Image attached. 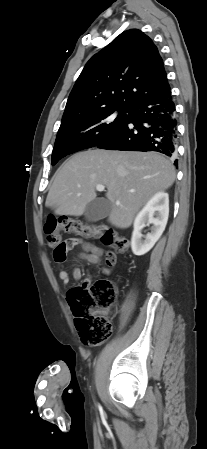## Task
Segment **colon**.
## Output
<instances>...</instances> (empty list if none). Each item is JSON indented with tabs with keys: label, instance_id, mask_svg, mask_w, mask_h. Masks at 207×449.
<instances>
[{
	"label": "colon",
	"instance_id": "colon-1",
	"mask_svg": "<svg viewBox=\"0 0 207 449\" xmlns=\"http://www.w3.org/2000/svg\"><path fill=\"white\" fill-rule=\"evenodd\" d=\"M61 231L74 233L82 238L99 239L120 253L129 250V240L117 235L111 228L72 219L48 220L44 224V234L48 244L53 248V257L58 264L66 261L68 250L73 245L71 239L61 241L59 235ZM107 262L112 264L113 259L110 257ZM115 296L114 285L108 280L93 283L84 281L68 291L67 300L75 317L76 328L85 345L94 346L110 337L111 323L108 312L115 301Z\"/></svg>",
	"mask_w": 207,
	"mask_h": 449
}]
</instances>
